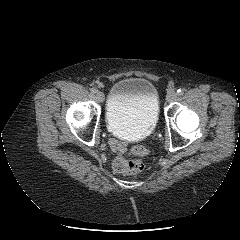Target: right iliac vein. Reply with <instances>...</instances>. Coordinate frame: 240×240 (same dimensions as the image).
<instances>
[{"label": "right iliac vein", "mask_w": 240, "mask_h": 240, "mask_svg": "<svg viewBox=\"0 0 240 240\" xmlns=\"http://www.w3.org/2000/svg\"><path fill=\"white\" fill-rule=\"evenodd\" d=\"M96 99L98 102L102 103L105 99L104 93L101 91L96 92Z\"/></svg>", "instance_id": "right-iliac-vein-1"}]
</instances>
